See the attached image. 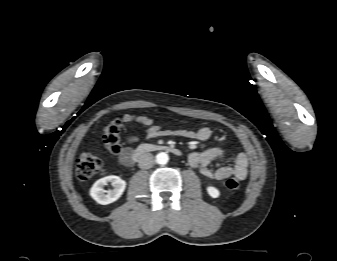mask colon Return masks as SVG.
Listing matches in <instances>:
<instances>
[{
	"label": "colon",
	"instance_id": "colon-1",
	"mask_svg": "<svg viewBox=\"0 0 337 261\" xmlns=\"http://www.w3.org/2000/svg\"><path fill=\"white\" fill-rule=\"evenodd\" d=\"M122 121L115 119L111 121L104 130V142L107 151L112 155H119L122 151L120 140V129ZM103 168V161L97 154L82 153L76 161V175L80 180H88L98 174ZM225 186L230 190L239 188V181L236 178H228Z\"/></svg>",
	"mask_w": 337,
	"mask_h": 261
}]
</instances>
